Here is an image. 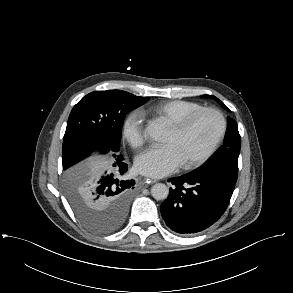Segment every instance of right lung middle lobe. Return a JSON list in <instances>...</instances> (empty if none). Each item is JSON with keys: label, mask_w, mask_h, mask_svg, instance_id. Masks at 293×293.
Instances as JSON below:
<instances>
[{"label": "right lung middle lobe", "mask_w": 293, "mask_h": 293, "mask_svg": "<svg viewBox=\"0 0 293 293\" xmlns=\"http://www.w3.org/2000/svg\"><path fill=\"white\" fill-rule=\"evenodd\" d=\"M148 100L121 90L95 91L70 113L62 147L65 188L74 212L92 230L110 232L122 224L123 217L99 213L90 206L84 190L92 178L91 167L78 163L94 150L118 152L126 114Z\"/></svg>", "instance_id": "right-lung-middle-lobe-1"}]
</instances>
